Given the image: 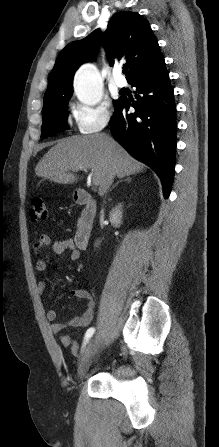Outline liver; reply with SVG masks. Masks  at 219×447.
Returning a JSON list of instances; mask_svg holds the SVG:
<instances>
[{"label": "liver", "mask_w": 219, "mask_h": 447, "mask_svg": "<svg viewBox=\"0 0 219 447\" xmlns=\"http://www.w3.org/2000/svg\"><path fill=\"white\" fill-rule=\"evenodd\" d=\"M145 165L134 159L121 145L103 133L61 139L39 161L38 177L59 184H73L79 170L94 172L99 195L106 193L115 176L123 178L142 172Z\"/></svg>", "instance_id": "obj_1"}]
</instances>
